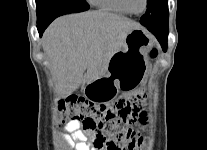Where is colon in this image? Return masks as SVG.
I'll list each match as a JSON object with an SVG mask.
<instances>
[{
    "label": "colon",
    "instance_id": "5ec220e1",
    "mask_svg": "<svg viewBox=\"0 0 207 150\" xmlns=\"http://www.w3.org/2000/svg\"><path fill=\"white\" fill-rule=\"evenodd\" d=\"M157 55L155 48L150 56L156 58ZM142 97V94H134L106 104L70 96L59 102L58 122L80 120L86 132L95 134L94 145L100 150H140L143 138L130 125L152 122V117L139 114V111H144V106H139ZM142 131H148V128H142Z\"/></svg>",
    "mask_w": 207,
    "mask_h": 150
}]
</instances>
